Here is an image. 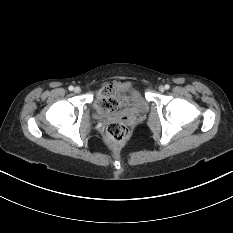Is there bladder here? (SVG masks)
Returning <instances> with one entry per match:
<instances>
[{"instance_id":"31cf9c89","label":"bladder","mask_w":233,"mask_h":233,"mask_svg":"<svg viewBox=\"0 0 233 233\" xmlns=\"http://www.w3.org/2000/svg\"><path fill=\"white\" fill-rule=\"evenodd\" d=\"M113 94L120 102V105L110 111L119 110L127 114H144L148 111V103L142 94L129 82H116ZM103 112H110L101 107Z\"/></svg>"}]
</instances>
